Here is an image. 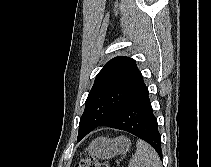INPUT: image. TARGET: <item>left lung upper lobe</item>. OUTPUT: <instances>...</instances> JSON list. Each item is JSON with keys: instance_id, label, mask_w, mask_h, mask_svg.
I'll return each mask as SVG.
<instances>
[{"instance_id": "5c2ea615", "label": "left lung upper lobe", "mask_w": 211, "mask_h": 167, "mask_svg": "<svg viewBox=\"0 0 211 167\" xmlns=\"http://www.w3.org/2000/svg\"><path fill=\"white\" fill-rule=\"evenodd\" d=\"M146 85L134 59H111L97 74L80 118L77 140L110 121Z\"/></svg>"}]
</instances>
